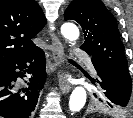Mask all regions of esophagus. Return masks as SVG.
Wrapping results in <instances>:
<instances>
[{"instance_id":"esophagus-1","label":"esophagus","mask_w":133,"mask_h":118,"mask_svg":"<svg viewBox=\"0 0 133 118\" xmlns=\"http://www.w3.org/2000/svg\"><path fill=\"white\" fill-rule=\"evenodd\" d=\"M50 36L52 41V56L56 66L59 68V87L63 93H68L71 90V85L62 78V65L64 63L63 45L53 32L50 33Z\"/></svg>"}]
</instances>
